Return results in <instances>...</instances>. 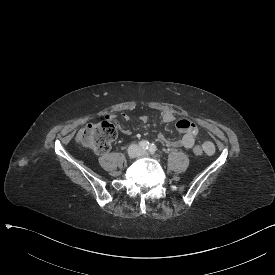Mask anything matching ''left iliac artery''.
<instances>
[{
	"label": "left iliac artery",
	"instance_id": "obj_1",
	"mask_svg": "<svg viewBox=\"0 0 275 275\" xmlns=\"http://www.w3.org/2000/svg\"><path fill=\"white\" fill-rule=\"evenodd\" d=\"M157 151V147H156V145L155 144H150V146H149V152L150 153H155Z\"/></svg>",
	"mask_w": 275,
	"mask_h": 275
}]
</instances>
